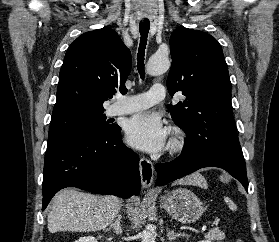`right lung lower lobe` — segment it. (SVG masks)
<instances>
[{
  "label": "right lung lower lobe",
  "instance_id": "right-lung-lower-lobe-1",
  "mask_svg": "<svg viewBox=\"0 0 279 242\" xmlns=\"http://www.w3.org/2000/svg\"><path fill=\"white\" fill-rule=\"evenodd\" d=\"M65 187L122 198L139 194V157L123 144L119 126L105 136L76 139L47 149L42 210Z\"/></svg>",
  "mask_w": 279,
  "mask_h": 242
}]
</instances>
